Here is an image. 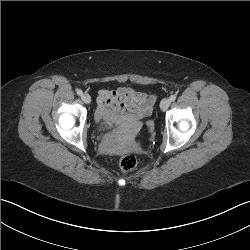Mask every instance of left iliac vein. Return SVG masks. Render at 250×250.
<instances>
[{
  "mask_svg": "<svg viewBox=\"0 0 250 250\" xmlns=\"http://www.w3.org/2000/svg\"><path fill=\"white\" fill-rule=\"evenodd\" d=\"M171 104V100L169 98H164L160 103V108L165 111Z\"/></svg>",
  "mask_w": 250,
  "mask_h": 250,
  "instance_id": "1",
  "label": "left iliac vein"
}]
</instances>
